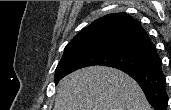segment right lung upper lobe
<instances>
[{
  "label": "right lung upper lobe",
  "instance_id": "obj_1",
  "mask_svg": "<svg viewBox=\"0 0 171 110\" xmlns=\"http://www.w3.org/2000/svg\"><path fill=\"white\" fill-rule=\"evenodd\" d=\"M92 42L125 46L159 58L140 22L126 13L109 14L95 20L79 32L65 48Z\"/></svg>",
  "mask_w": 171,
  "mask_h": 110
}]
</instances>
